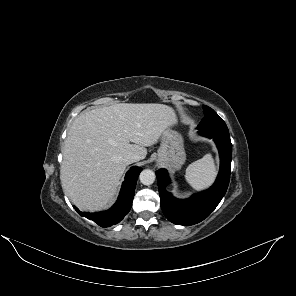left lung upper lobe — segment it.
Returning <instances> with one entry per match:
<instances>
[{
    "label": "left lung upper lobe",
    "instance_id": "5c2ea615",
    "mask_svg": "<svg viewBox=\"0 0 296 296\" xmlns=\"http://www.w3.org/2000/svg\"><path fill=\"white\" fill-rule=\"evenodd\" d=\"M204 118L198 125V129L227 128L224 120L210 107L203 105Z\"/></svg>",
    "mask_w": 296,
    "mask_h": 296
}]
</instances>
